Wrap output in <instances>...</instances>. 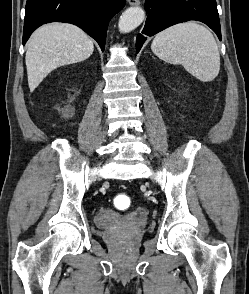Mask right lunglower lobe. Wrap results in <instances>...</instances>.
I'll return each mask as SVG.
<instances>
[{"label": "right lung lower lobe", "instance_id": "98d812e1", "mask_svg": "<svg viewBox=\"0 0 249 294\" xmlns=\"http://www.w3.org/2000/svg\"><path fill=\"white\" fill-rule=\"evenodd\" d=\"M124 5L125 0H27L23 45L36 28L58 21L82 28L104 51L108 23Z\"/></svg>", "mask_w": 249, "mask_h": 294}]
</instances>
